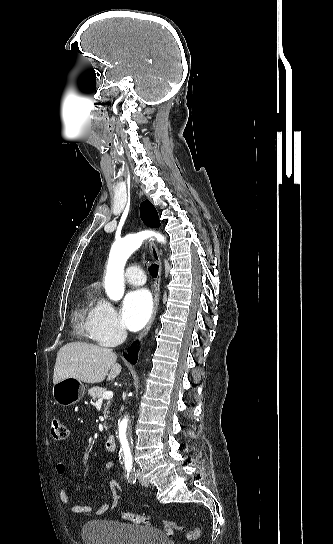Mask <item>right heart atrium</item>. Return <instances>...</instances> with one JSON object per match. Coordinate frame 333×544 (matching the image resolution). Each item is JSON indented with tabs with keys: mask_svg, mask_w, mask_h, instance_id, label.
I'll list each match as a JSON object with an SVG mask.
<instances>
[{
	"mask_svg": "<svg viewBox=\"0 0 333 544\" xmlns=\"http://www.w3.org/2000/svg\"><path fill=\"white\" fill-rule=\"evenodd\" d=\"M87 332L99 344L112 346L121 342L126 331L115 307L106 300L94 306L86 324Z\"/></svg>",
	"mask_w": 333,
	"mask_h": 544,
	"instance_id": "1",
	"label": "right heart atrium"
}]
</instances>
